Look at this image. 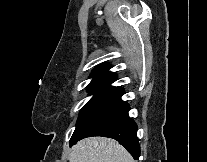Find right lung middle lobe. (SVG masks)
I'll use <instances>...</instances> for the list:
<instances>
[{"label":"right lung middle lobe","instance_id":"1","mask_svg":"<svg viewBox=\"0 0 207 162\" xmlns=\"http://www.w3.org/2000/svg\"><path fill=\"white\" fill-rule=\"evenodd\" d=\"M90 94H94V96L90 99V101L82 108L77 124L76 129L73 133L77 131V129L82 125V123L88 118V116L107 98L109 97L116 89L114 88H88Z\"/></svg>","mask_w":207,"mask_h":162}]
</instances>
